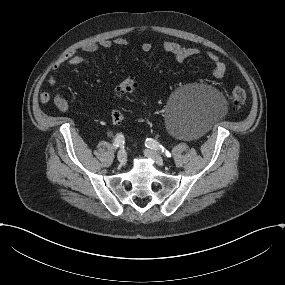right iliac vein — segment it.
<instances>
[{
	"label": "right iliac vein",
	"instance_id": "right-iliac-vein-1",
	"mask_svg": "<svg viewBox=\"0 0 285 285\" xmlns=\"http://www.w3.org/2000/svg\"><path fill=\"white\" fill-rule=\"evenodd\" d=\"M117 159H118V161H119L121 164L125 163L126 160H127V155H126V153L123 152V151H120V152L117 154Z\"/></svg>",
	"mask_w": 285,
	"mask_h": 285
}]
</instances>
